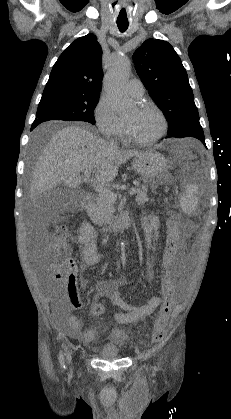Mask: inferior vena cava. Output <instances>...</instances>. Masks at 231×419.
Segmentation results:
<instances>
[{"label": "inferior vena cava", "instance_id": "602c4592", "mask_svg": "<svg viewBox=\"0 0 231 419\" xmlns=\"http://www.w3.org/2000/svg\"><path fill=\"white\" fill-rule=\"evenodd\" d=\"M109 147L112 149L117 148V143L113 139H109Z\"/></svg>", "mask_w": 231, "mask_h": 419}]
</instances>
